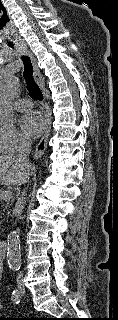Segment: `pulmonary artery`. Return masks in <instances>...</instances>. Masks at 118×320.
I'll return each instance as SVG.
<instances>
[{"label":"pulmonary artery","instance_id":"e3ab8cb5","mask_svg":"<svg viewBox=\"0 0 118 320\" xmlns=\"http://www.w3.org/2000/svg\"><path fill=\"white\" fill-rule=\"evenodd\" d=\"M32 101L29 99H19L14 103L17 111H26L32 107Z\"/></svg>","mask_w":118,"mask_h":320}]
</instances>
